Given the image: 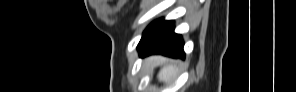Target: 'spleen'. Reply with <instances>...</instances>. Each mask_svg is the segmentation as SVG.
<instances>
[{"label":"spleen","mask_w":296,"mask_h":92,"mask_svg":"<svg viewBox=\"0 0 296 92\" xmlns=\"http://www.w3.org/2000/svg\"><path fill=\"white\" fill-rule=\"evenodd\" d=\"M177 73V68L174 65H164L161 71L158 74L160 81H169Z\"/></svg>","instance_id":"spleen-1"}]
</instances>
